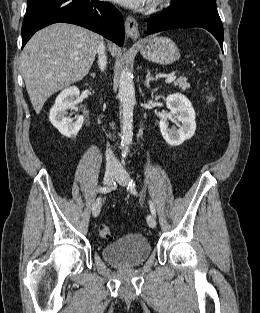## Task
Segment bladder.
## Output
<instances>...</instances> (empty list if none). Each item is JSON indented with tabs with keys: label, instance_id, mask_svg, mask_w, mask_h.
I'll return each instance as SVG.
<instances>
[{
	"label": "bladder",
	"instance_id": "bladder-1",
	"mask_svg": "<svg viewBox=\"0 0 260 313\" xmlns=\"http://www.w3.org/2000/svg\"><path fill=\"white\" fill-rule=\"evenodd\" d=\"M151 255V245L142 234H129L106 245L102 256L117 267L141 265Z\"/></svg>",
	"mask_w": 260,
	"mask_h": 313
}]
</instances>
